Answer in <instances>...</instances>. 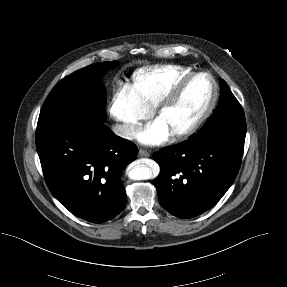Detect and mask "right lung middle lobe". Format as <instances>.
I'll return each instance as SVG.
<instances>
[{
    "mask_svg": "<svg viewBox=\"0 0 287 287\" xmlns=\"http://www.w3.org/2000/svg\"><path fill=\"white\" fill-rule=\"evenodd\" d=\"M117 61L101 62L77 70L61 80L46 98L37 130L50 128L72 118L86 116L105 121L106 91L101 78Z\"/></svg>",
    "mask_w": 287,
    "mask_h": 287,
    "instance_id": "obj_1",
    "label": "right lung middle lobe"
}]
</instances>
